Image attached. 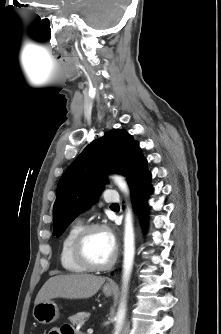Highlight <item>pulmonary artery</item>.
Masks as SVG:
<instances>
[{
	"instance_id": "1",
	"label": "pulmonary artery",
	"mask_w": 221,
	"mask_h": 334,
	"mask_svg": "<svg viewBox=\"0 0 221 334\" xmlns=\"http://www.w3.org/2000/svg\"><path fill=\"white\" fill-rule=\"evenodd\" d=\"M104 199L107 202H116V201H118V197L114 195V190H111V189L106 190Z\"/></svg>"
}]
</instances>
